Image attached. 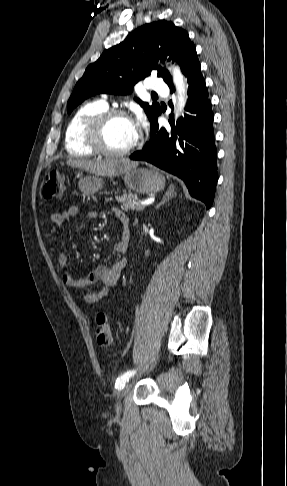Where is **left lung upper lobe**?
<instances>
[{"mask_svg": "<svg viewBox=\"0 0 287 486\" xmlns=\"http://www.w3.org/2000/svg\"><path fill=\"white\" fill-rule=\"evenodd\" d=\"M195 45L188 33L171 21L159 20L133 31L123 42L105 50L90 64L77 82L68 101L67 112L85 99L99 93L130 94L139 80L149 76L153 69L169 84V72L156 64L157 59L177 62L182 71L196 58ZM147 114L150 123L159 115L158 103L149 105L135 99Z\"/></svg>", "mask_w": 287, "mask_h": 486, "instance_id": "left-lung-upper-lobe-1", "label": "left lung upper lobe"}]
</instances>
